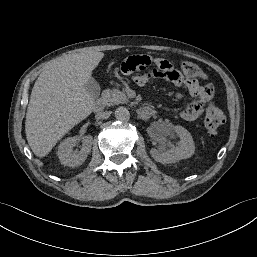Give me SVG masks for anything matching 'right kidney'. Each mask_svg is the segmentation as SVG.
I'll return each mask as SVG.
<instances>
[{
  "mask_svg": "<svg viewBox=\"0 0 257 257\" xmlns=\"http://www.w3.org/2000/svg\"><path fill=\"white\" fill-rule=\"evenodd\" d=\"M92 136L69 137L65 139L58 147V157L61 164L69 167H77L83 164L91 151ZM82 140V147L79 151L73 150L77 143Z\"/></svg>",
  "mask_w": 257,
  "mask_h": 257,
  "instance_id": "right-kidney-1",
  "label": "right kidney"
}]
</instances>
